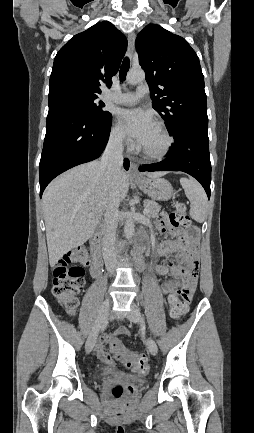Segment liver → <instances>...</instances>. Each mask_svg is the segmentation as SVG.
<instances>
[{
  "instance_id": "6515ba94",
  "label": "liver",
  "mask_w": 254,
  "mask_h": 433,
  "mask_svg": "<svg viewBox=\"0 0 254 433\" xmlns=\"http://www.w3.org/2000/svg\"><path fill=\"white\" fill-rule=\"evenodd\" d=\"M165 174L151 172L147 176ZM129 184L125 171L121 170L113 180L97 160L74 167L49 185L42 201L51 267L93 235L111 200L116 196L120 202L124 200Z\"/></svg>"
}]
</instances>
